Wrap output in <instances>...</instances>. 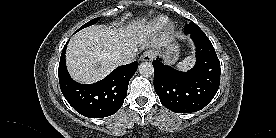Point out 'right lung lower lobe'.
<instances>
[{
  "label": "right lung lower lobe",
  "mask_w": 276,
  "mask_h": 138,
  "mask_svg": "<svg viewBox=\"0 0 276 138\" xmlns=\"http://www.w3.org/2000/svg\"><path fill=\"white\" fill-rule=\"evenodd\" d=\"M66 46L58 69L60 88L66 100L86 117L103 118L113 115L124 103L129 80L136 72L138 62L117 67L103 80L83 85L75 82L68 74L65 64Z\"/></svg>",
  "instance_id": "98d812e1"
}]
</instances>
